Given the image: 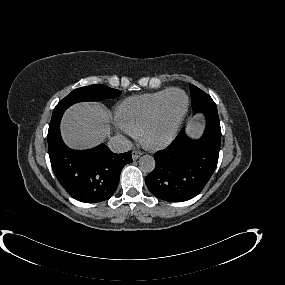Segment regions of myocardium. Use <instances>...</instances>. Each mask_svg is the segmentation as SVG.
Wrapping results in <instances>:
<instances>
[{
    "label": "myocardium",
    "mask_w": 285,
    "mask_h": 285,
    "mask_svg": "<svg viewBox=\"0 0 285 285\" xmlns=\"http://www.w3.org/2000/svg\"><path fill=\"white\" fill-rule=\"evenodd\" d=\"M179 92L182 93L185 97V106L183 111L181 112L180 116L178 117L172 131L169 133L168 136L159 139V140H150L149 139V133L159 124V122L162 120L164 113L167 108V103L169 100V97L172 93ZM189 110V98L185 91L179 88H173L170 89L167 94L164 96L162 101L160 102L155 114L152 116V118L145 124L143 129L140 132V140L141 142L148 148H161L169 145L173 140L177 137L180 128L185 120V117Z\"/></svg>",
    "instance_id": "myocardium-1"
}]
</instances>
